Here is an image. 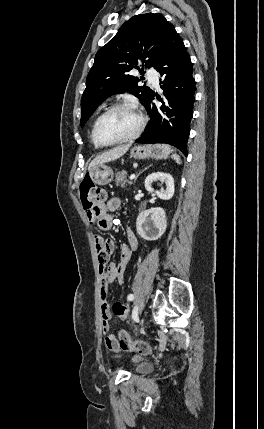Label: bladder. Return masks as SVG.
Segmentation results:
<instances>
[{
    "mask_svg": "<svg viewBox=\"0 0 264 429\" xmlns=\"http://www.w3.org/2000/svg\"><path fill=\"white\" fill-rule=\"evenodd\" d=\"M154 370V365L150 362L143 361L135 365L133 371L136 374H149Z\"/></svg>",
    "mask_w": 264,
    "mask_h": 429,
    "instance_id": "31cf9c89",
    "label": "bladder"
}]
</instances>
